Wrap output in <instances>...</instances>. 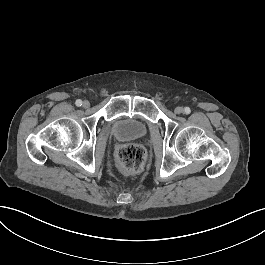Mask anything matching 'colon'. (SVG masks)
<instances>
[{
    "mask_svg": "<svg viewBox=\"0 0 265 265\" xmlns=\"http://www.w3.org/2000/svg\"><path fill=\"white\" fill-rule=\"evenodd\" d=\"M146 163L147 155L138 145H126L118 152L117 164L124 172L139 173L144 169Z\"/></svg>",
    "mask_w": 265,
    "mask_h": 265,
    "instance_id": "colon-1",
    "label": "colon"
}]
</instances>
